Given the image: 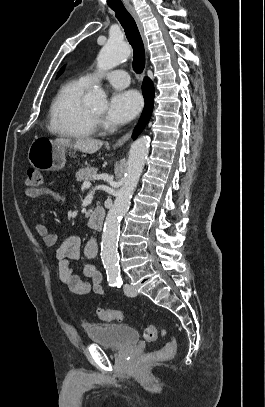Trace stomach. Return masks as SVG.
<instances>
[{"label": "stomach", "instance_id": "0dacf381", "mask_svg": "<svg viewBox=\"0 0 265 407\" xmlns=\"http://www.w3.org/2000/svg\"><path fill=\"white\" fill-rule=\"evenodd\" d=\"M66 147L48 139L33 141L28 150L29 163L41 171H58L66 163Z\"/></svg>", "mask_w": 265, "mask_h": 407}]
</instances>
